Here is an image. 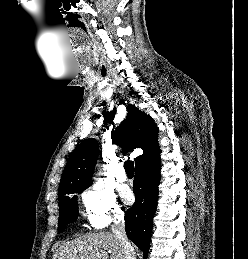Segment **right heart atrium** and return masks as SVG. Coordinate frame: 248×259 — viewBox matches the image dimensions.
<instances>
[{
	"instance_id": "obj_1",
	"label": "right heart atrium",
	"mask_w": 248,
	"mask_h": 259,
	"mask_svg": "<svg viewBox=\"0 0 248 259\" xmlns=\"http://www.w3.org/2000/svg\"><path fill=\"white\" fill-rule=\"evenodd\" d=\"M82 202L89 225L102 229L123 217V211L118 205L114 193L95 183L82 194Z\"/></svg>"
}]
</instances>
